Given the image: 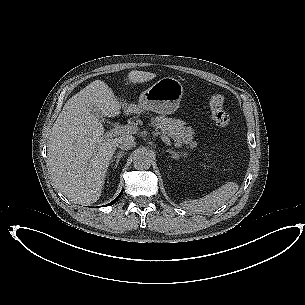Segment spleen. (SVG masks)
Here are the masks:
<instances>
[{
  "mask_svg": "<svg viewBox=\"0 0 305 305\" xmlns=\"http://www.w3.org/2000/svg\"><path fill=\"white\" fill-rule=\"evenodd\" d=\"M233 185V182H228L200 199L189 200L184 208L194 214L212 212L230 198Z\"/></svg>",
  "mask_w": 305,
  "mask_h": 305,
  "instance_id": "spleen-1",
  "label": "spleen"
}]
</instances>
